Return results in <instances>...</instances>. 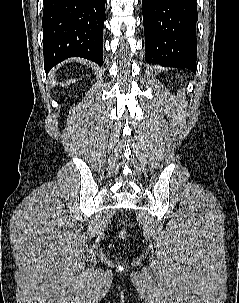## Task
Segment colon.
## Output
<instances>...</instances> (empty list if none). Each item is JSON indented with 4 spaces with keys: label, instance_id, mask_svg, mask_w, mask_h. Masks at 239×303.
<instances>
[{
    "label": "colon",
    "instance_id": "obj_1",
    "mask_svg": "<svg viewBox=\"0 0 239 303\" xmlns=\"http://www.w3.org/2000/svg\"><path fill=\"white\" fill-rule=\"evenodd\" d=\"M127 229L126 228H123V229H121V231H120V237L121 238H125L126 236H127Z\"/></svg>",
    "mask_w": 239,
    "mask_h": 303
}]
</instances>
